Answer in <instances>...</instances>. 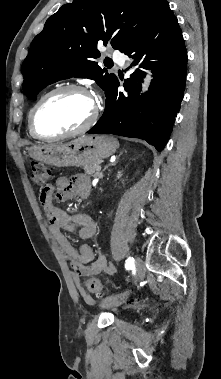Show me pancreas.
Instances as JSON below:
<instances>
[{
  "label": "pancreas",
  "instance_id": "obj_1",
  "mask_svg": "<svg viewBox=\"0 0 221 379\" xmlns=\"http://www.w3.org/2000/svg\"><path fill=\"white\" fill-rule=\"evenodd\" d=\"M100 162H94V163H89L84 165V171L85 174L87 175H95L99 172L98 167H99Z\"/></svg>",
  "mask_w": 221,
  "mask_h": 379
}]
</instances>
